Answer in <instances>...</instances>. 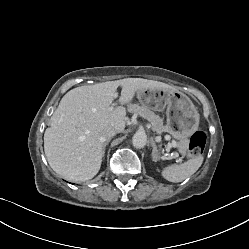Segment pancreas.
Listing matches in <instances>:
<instances>
[{"instance_id":"cf45deb5","label":"pancreas","mask_w":249,"mask_h":249,"mask_svg":"<svg viewBox=\"0 0 249 249\" xmlns=\"http://www.w3.org/2000/svg\"><path fill=\"white\" fill-rule=\"evenodd\" d=\"M128 111L134 114H138L150 121L152 124V129L158 134H161L163 132H169L168 127L163 124V119L148 108L139 106L138 104H129ZM177 147L180 149L181 152L184 153L187 149V141L181 140L177 143Z\"/></svg>"}]
</instances>
